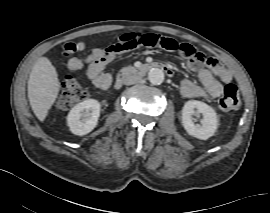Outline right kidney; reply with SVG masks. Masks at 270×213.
Returning <instances> with one entry per match:
<instances>
[{"label":"right kidney","instance_id":"ca27d5eb","mask_svg":"<svg viewBox=\"0 0 270 213\" xmlns=\"http://www.w3.org/2000/svg\"><path fill=\"white\" fill-rule=\"evenodd\" d=\"M100 107V103L95 99L84 100L76 104L67 116L70 131L79 136L90 133L98 123Z\"/></svg>","mask_w":270,"mask_h":213}]
</instances>
